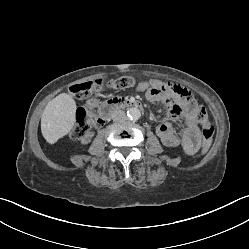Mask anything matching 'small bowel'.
<instances>
[{
	"label": "small bowel",
	"instance_id": "c3829d8e",
	"mask_svg": "<svg viewBox=\"0 0 249 249\" xmlns=\"http://www.w3.org/2000/svg\"><path fill=\"white\" fill-rule=\"evenodd\" d=\"M150 90L147 95L153 100H167L170 117L183 123L180 129L172 123L163 122L157 127V134L166 146H181L188 155L195 154L201 143L196 115L200 108L191 92L178 84L161 80L147 82Z\"/></svg>",
	"mask_w": 249,
	"mask_h": 249
}]
</instances>
